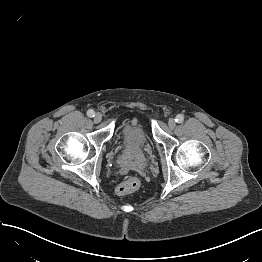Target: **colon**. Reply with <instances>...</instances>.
I'll use <instances>...</instances> for the list:
<instances>
[{"label":"colon","instance_id":"1","mask_svg":"<svg viewBox=\"0 0 262 262\" xmlns=\"http://www.w3.org/2000/svg\"><path fill=\"white\" fill-rule=\"evenodd\" d=\"M140 185H141L140 179L137 176L133 175L130 176L126 181L121 183L116 188V193L120 196H123L136 191L137 189H139Z\"/></svg>","mask_w":262,"mask_h":262}]
</instances>
